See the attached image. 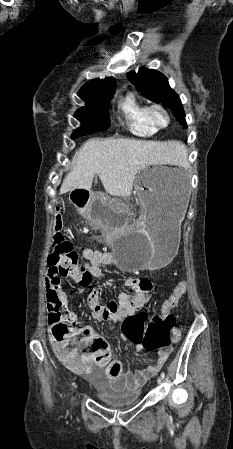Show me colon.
I'll use <instances>...</instances> for the list:
<instances>
[{
    "mask_svg": "<svg viewBox=\"0 0 233 449\" xmlns=\"http://www.w3.org/2000/svg\"><path fill=\"white\" fill-rule=\"evenodd\" d=\"M62 220L56 217L54 220V235L52 250L48 257L51 265H58L61 272L67 268L80 267L79 256L72 244L68 242L61 231ZM187 280L182 278L173 286V291L162 303L160 313L151 316L149 310H141L133 319H126L122 323L121 338H127L128 343H140L146 351L165 350L168 351L172 344L179 341L180 329L176 326V319L171 311L178 305L179 300L186 294ZM107 315V314H105ZM151 316V317H150ZM149 319L144 328L141 323ZM51 324V337L58 343L56 353L58 357L73 369H81L84 361L76 354L75 346L71 342L73 330L79 325V321L73 314L55 308L49 317ZM83 346L91 348L97 361H104L109 355L108 343L102 338H95L87 329L79 332Z\"/></svg>",
    "mask_w": 233,
    "mask_h": 449,
    "instance_id": "obj_1",
    "label": "colon"
}]
</instances>
